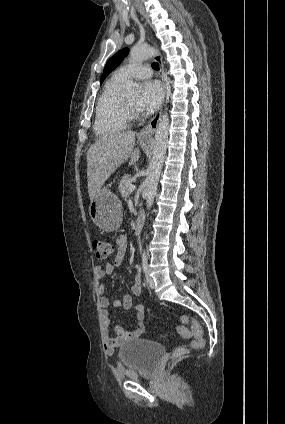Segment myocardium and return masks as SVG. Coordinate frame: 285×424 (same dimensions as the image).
Wrapping results in <instances>:
<instances>
[{"mask_svg":"<svg viewBox=\"0 0 285 424\" xmlns=\"http://www.w3.org/2000/svg\"><path fill=\"white\" fill-rule=\"evenodd\" d=\"M124 111L128 119L135 118L137 116V111L134 106L129 104L125 99L123 101Z\"/></svg>","mask_w":285,"mask_h":424,"instance_id":"obj_1","label":"myocardium"}]
</instances>
